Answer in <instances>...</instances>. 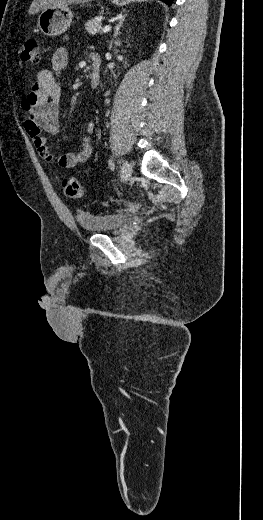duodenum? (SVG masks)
<instances>
[{"label":"duodenum","instance_id":"obj_1","mask_svg":"<svg viewBox=\"0 0 263 520\" xmlns=\"http://www.w3.org/2000/svg\"><path fill=\"white\" fill-rule=\"evenodd\" d=\"M92 68L89 74L90 85L96 89L101 81V58L98 54L91 55Z\"/></svg>","mask_w":263,"mask_h":520}]
</instances>
